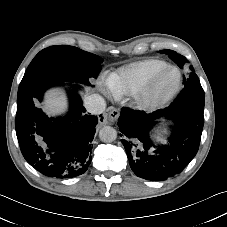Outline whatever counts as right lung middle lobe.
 I'll use <instances>...</instances> for the list:
<instances>
[{
    "label": "right lung middle lobe",
    "instance_id": "dd1d6c3e",
    "mask_svg": "<svg viewBox=\"0 0 227 227\" xmlns=\"http://www.w3.org/2000/svg\"><path fill=\"white\" fill-rule=\"evenodd\" d=\"M103 60L92 53L67 45L51 46L40 51L28 66L18 94L42 82L78 81L89 84L97 78Z\"/></svg>",
    "mask_w": 227,
    "mask_h": 227
}]
</instances>
